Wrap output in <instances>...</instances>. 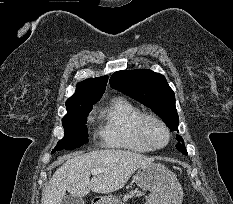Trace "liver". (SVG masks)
I'll return each instance as SVG.
<instances>
[{
    "label": "liver",
    "mask_w": 233,
    "mask_h": 204,
    "mask_svg": "<svg viewBox=\"0 0 233 204\" xmlns=\"http://www.w3.org/2000/svg\"><path fill=\"white\" fill-rule=\"evenodd\" d=\"M153 158L131 151L105 149L69 156L56 170L42 194L41 204H61L66 191L75 197H84L90 190L110 193L125 186L131 175ZM106 169L93 176L91 170Z\"/></svg>",
    "instance_id": "6515ba94"
}]
</instances>
